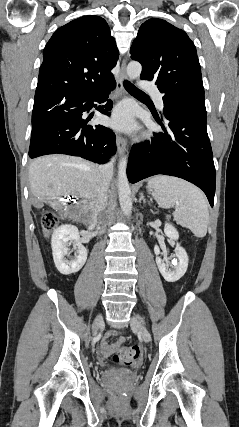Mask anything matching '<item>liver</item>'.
I'll return each instance as SVG.
<instances>
[{
  "label": "liver",
  "instance_id": "liver-1",
  "mask_svg": "<svg viewBox=\"0 0 239 427\" xmlns=\"http://www.w3.org/2000/svg\"><path fill=\"white\" fill-rule=\"evenodd\" d=\"M99 181V166L77 157L43 156L34 159L29 168L30 191L38 201L58 209L64 206L62 197L78 196L93 220Z\"/></svg>",
  "mask_w": 239,
  "mask_h": 427
}]
</instances>
